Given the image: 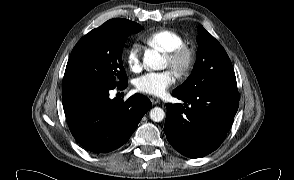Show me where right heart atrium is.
I'll return each instance as SVG.
<instances>
[{"label":"right heart atrium","mask_w":294,"mask_h":180,"mask_svg":"<svg viewBox=\"0 0 294 180\" xmlns=\"http://www.w3.org/2000/svg\"><path fill=\"white\" fill-rule=\"evenodd\" d=\"M128 68L132 72H138L142 68V49L139 43H132L124 53Z\"/></svg>","instance_id":"1"}]
</instances>
